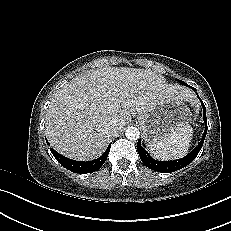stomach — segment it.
<instances>
[{"instance_id": "obj_1", "label": "stomach", "mask_w": 231, "mask_h": 231, "mask_svg": "<svg viewBox=\"0 0 231 231\" xmlns=\"http://www.w3.org/2000/svg\"><path fill=\"white\" fill-rule=\"evenodd\" d=\"M138 123L143 130L147 145L156 143L184 125H189L191 112L188 106L178 99H165L149 111L139 114Z\"/></svg>"}]
</instances>
